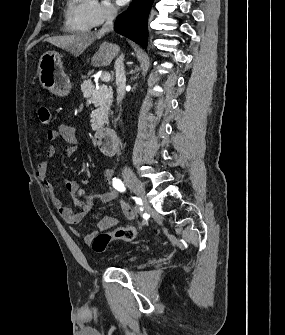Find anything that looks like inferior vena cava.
<instances>
[{"mask_svg": "<svg viewBox=\"0 0 285 335\" xmlns=\"http://www.w3.org/2000/svg\"><path fill=\"white\" fill-rule=\"evenodd\" d=\"M105 10H106V22L104 26H102L99 34L103 36V34H106V32H112L113 30V20H115L117 16V10L113 4H105ZM117 48V52H119L118 46H115ZM123 60L124 56L121 54L117 60H115V70H116V86H117V104H121L122 100H124V96L126 94L125 92V86H126V76L123 68Z\"/></svg>", "mask_w": 285, "mask_h": 335, "instance_id": "1", "label": "inferior vena cava"}]
</instances>
